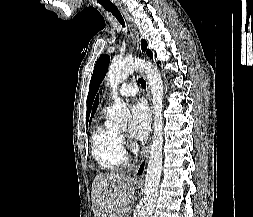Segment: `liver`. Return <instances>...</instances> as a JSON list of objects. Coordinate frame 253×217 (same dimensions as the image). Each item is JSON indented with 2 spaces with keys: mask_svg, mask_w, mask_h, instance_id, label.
I'll list each match as a JSON object with an SVG mask.
<instances>
[{
  "mask_svg": "<svg viewBox=\"0 0 253 217\" xmlns=\"http://www.w3.org/2000/svg\"><path fill=\"white\" fill-rule=\"evenodd\" d=\"M135 195L134 180L124 173L97 175L92 184L94 217H124Z\"/></svg>",
  "mask_w": 253,
  "mask_h": 217,
  "instance_id": "liver-1",
  "label": "liver"
}]
</instances>
